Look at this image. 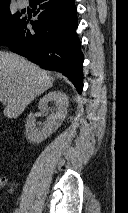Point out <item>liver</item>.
<instances>
[{
  "label": "liver",
  "mask_w": 128,
  "mask_h": 213,
  "mask_svg": "<svg viewBox=\"0 0 128 213\" xmlns=\"http://www.w3.org/2000/svg\"><path fill=\"white\" fill-rule=\"evenodd\" d=\"M50 73L25 58L0 51V97L7 102L3 111L17 118L34 100L53 85Z\"/></svg>",
  "instance_id": "1"
}]
</instances>
